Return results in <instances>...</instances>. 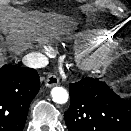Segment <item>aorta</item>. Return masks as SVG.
I'll return each mask as SVG.
<instances>
[{"instance_id":"obj_1","label":"aorta","mask_w":131,"mask_h":131,"mask_svg":"<svg viewBox=\"0 0 131 131\" xmlns=\"http://www.w3.org/2000/svg\"><path fill=\"white\" fill-rule=\"evenodd\" d=\"M51 95L55 103L64 104L68 101V92L63 87H54Z\"/></svg>"}]
</instances>
